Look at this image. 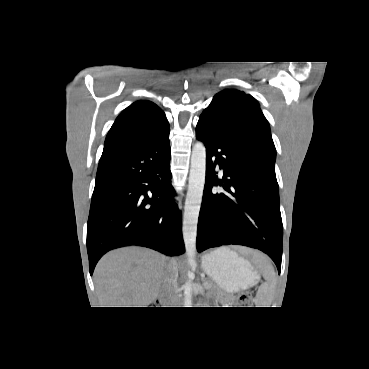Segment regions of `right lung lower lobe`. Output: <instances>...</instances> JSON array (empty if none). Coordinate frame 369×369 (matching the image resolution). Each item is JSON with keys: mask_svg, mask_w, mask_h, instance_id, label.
<instances>
[{"mask_svg": "<svg viewBox=\"0 0 369 369\" xmlns=\"http://www.w3.org/2000/svg\"><path fill=\"white\" fill-rule=\"evenodd\" d=\"M169 131L100 159L87 225L91 275L98 260L118 247L145 246L169 256L185 252Z\"/></svg>", "mask_w": 369, "mask_h": 369, "instance_id": "obj_1", "label": "right lung lower lobe"}]
</instances>
